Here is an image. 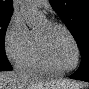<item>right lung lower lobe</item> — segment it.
Instances as JSON below:
<instances>
[{"label":"right lung lower lobe","mask_w":89,"mask_h":89,"mask_svg":"<svg viewBox=\"0 0 89 89\" xmlns=\"http://www.w3.org/2000/svg\"><path fill=\"white\" fill-rule=\"evenodd\" d=\"M12 67L6 57V54H3V57L0 58V71H4V70H11Z\"/></svg>","instance_id":"98d812e1"}]
</instances>
